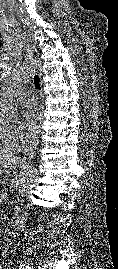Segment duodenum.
I'll return each instance as SVG.
<instances>
[{"mask_svg": "<svg viewBox=\"0 0 118 269\" xmlns=\"http://www.w3.org/2000/svg\"><path fill=\"white\" fill-rule=\"evenodd\" d=\"M25 226H26V218L23 214H19L15 219L13 228L18 231L24 229Z\"/></svg>", "mask_w": 118, "mask_h": 269, "instance_id": "duodenum-1", "label": "duodenum"}]
</instances>
